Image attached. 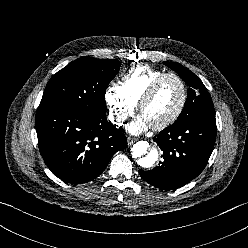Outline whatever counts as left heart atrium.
Here are the masks:
<instances>
[{
	"mask_svg": "<svg viewBox=\"0 0 248 248\" xmlns=\"http://www.w3.org/2000/svg\"><path fill=\"white\" fill-rule=\"evenodd\" d=\"M150 126L149 122L143 115H138L133 121L127 126V130L132 134H140L147 130Z\"/></svg>",
	"mask_w": 248,
	"mask_h": 248,
	"instance_id": "39dd6f15",
	"label": "left heart atrium"
}]
</instances>
